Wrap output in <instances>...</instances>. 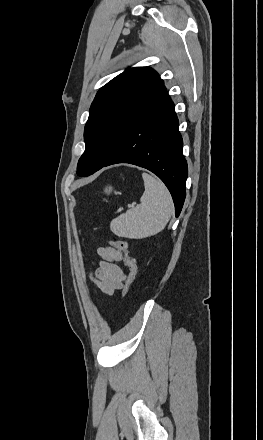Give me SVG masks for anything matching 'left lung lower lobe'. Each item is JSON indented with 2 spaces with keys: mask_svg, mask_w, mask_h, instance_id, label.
Wrapping results in <instances>:
<instances>
[{
  "mask_svg": "<svg viewBox=\"0 0 263 440\" xmlns=\"http://www.w3.org/2000/svg\"><path fill=\"white\" fill-rule=\"evenodd\" d=\"M178 128L174 104L163 85L137 113L118 149L103 166L130 163L156 174L172 195L176 217L185 200L188 174Z\"/></svg>",
  "mask_w": 263,
  "mask_h": 440,
  "instance_id": "left-lung-lower-lobe-1",
  "label": "left lung lower lobe"
}]
</instances>
